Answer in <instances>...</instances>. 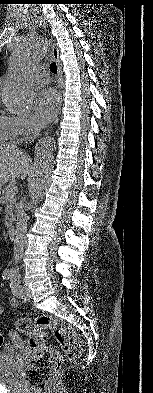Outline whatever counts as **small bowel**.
Here are the masks:
<instances>
[{
  "label": "small bowel",
  "mask_w": 153,
  "mask_h": 393,
  "mask_svg": "<svg viewBox=\"0 0 153 393\" xmlns=\"http://www.w3.org/2000/svg\"><path fill=\"white\" fill-rule=\"evenodd\" d=\"M8 302L11 307H17L19 305V300L16 297H10ZM4 311V307L0 305V315L4 314Z\"/></svg>",
  "instance_id": "1"
}]
</instances>
